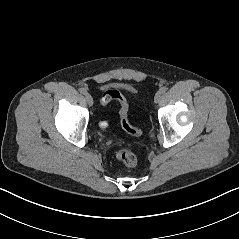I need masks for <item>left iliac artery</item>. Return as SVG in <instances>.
<instances>
[{"label":"left iliac artery","instance_id":"44dca946","mask_svg":"<svg viewBox=\"0 0 239 239\" xmlns=\"http://www.w3.org/2000/svg\"><path fill=\"white\" fill-rule=\"evenodd\" d=\"M166 91H167V88H166L165 86H163V87H161V88L159 89V92H160L161 94L165 93Z\"/></svg>","mask_w":239,"mask_h":239}]
</instances>
